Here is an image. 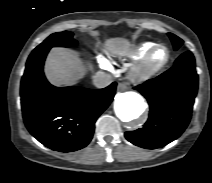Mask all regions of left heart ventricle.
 Returning <instances> with one entry per match:
<instances>
[{"label": "left heart ventricle", "mask_w": 212, "mask_h": 183, "mask_svg": "<svg viewBox=\"0 0 212 183\" xmlns=\"http://www.w3.org/2000/svg\"><path fill=\"white\" fill-rule=\"evenodd\" d=\"M166 56H167V52L164 48L157 49L151 57V60H150L151 66L159 65L166 59Z\"/></svg>", "instance_id": "left-heart-ventricle-1"}]
</instances>
